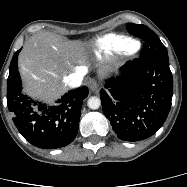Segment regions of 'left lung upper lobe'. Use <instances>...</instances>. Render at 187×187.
I'll use <instances>...</instances> for the list:
<instances>
[{
	"label": "left lung upper lobe",
	"instance_id": "5c2ea615",
	"mask_svg": "<svg viewBox=\"0 0 187 187\" xmlns=\"http://www.w3.org/2000/svg\"><path fill=\"white\" fill-rule=\"evenodd\" d=\"M127 29L130 34L143 38L145 41L144 50L140 55L141 58L169 61L167 49L150 28L145 25L128 23Z\"/></svg>",
	"mask_w": 187,
	"mask_h": 187
}]
</instances>
